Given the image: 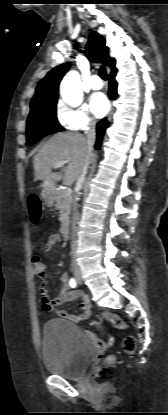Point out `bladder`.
Returning <instances> with one entry per match:
<instances>
[{
	"mask_svg": "<svg viewBox=\"0 0 168 415\" xmlns=\"http://www.w3.org/2000/svg\"><path fill=\"white\" fill-rule=\"evenodd\" d=\"M41 347L46 369L67 379L82 376L97 354L96 347L83 330L62 319L44 323Z\"/></svg>",
	"mask_w": 168,
	"mask_h": 415,
	"instance_id": "bladder-1",
	"label": "bladder"
}]
</instances>
